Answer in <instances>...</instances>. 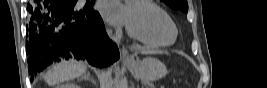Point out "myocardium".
Returning <instances> with one entry per match:
<instances>
[{
    "label": "myocardium",
    "mask_w": 267,
    "mask_h": 88,
    "mask_svg": "<svg viewBox=\"0 0 267 88\" xmlns=\"http://www.w3.org/2000/svg\"><path fill=\"white\" fill-rule=\"evenodd\" d=\"M132 3H136L139 5H145L148 8L153 9V10L157 11L158 13L167 17L171 21V23L174 27L175 35H174V38L171 42H156V41L149 40L145 37H142L141 35L137 34L136 32H134L133 30H131L127 26V33L129 34L130 37H132V38H134L140 42H143L145 44L152 45V46H158V47L170 46V45L175 43V41L178 37V27H177L176 23L173 21V19L165 11H163L161 8H157V7L152 6L151 4L147 3L145 0H135V1H132Z\"/></svg>",
    "instance_id": "1"
}]
</instances>
